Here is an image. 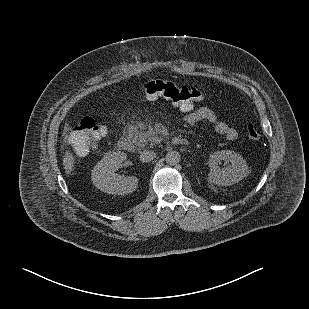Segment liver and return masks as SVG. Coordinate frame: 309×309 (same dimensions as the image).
<instances>
[{
	"label": "liver",
	"mask_w": 309,
	"mask_h": 309,
	"mask_svg": "<svg viewBox=\"0 0 309 309\" xmlns=\"http://www.w3.org/2000/svg\"><path fill=\"white\" fill-rule=\"evenodd\" d=\"M63 165L66 171V174H69L74 166V157L70 152H65V156L63 158Z\"/></svg>",
	"instance_id": "6515ba94"
}]
</instances>
